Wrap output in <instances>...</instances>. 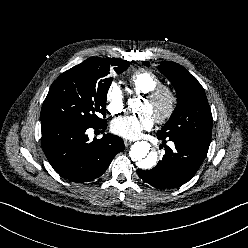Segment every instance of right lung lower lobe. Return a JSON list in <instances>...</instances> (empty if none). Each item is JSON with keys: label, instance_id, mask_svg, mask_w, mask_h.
Masks as SVG:
<instances>
[{"label": "right lung lower lobe", "instance_id": "1", "mask_svg": "<svg viewBox=\"0 0 248 248\" xmlns=\"http://www.w3.org/2000/svg\"><path fill=\"white\" fill-rule=\"evenodd\" d=\"M107 123L79 125L47 123L41 125L42 147L54 170L73 182H88L100 177L114 156L124 150L123 140L113 134L89 142L88 128L105 129Z\"/></svg>", "mask_w": 248, "mask_h": 248}]
</instances>
